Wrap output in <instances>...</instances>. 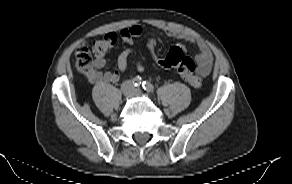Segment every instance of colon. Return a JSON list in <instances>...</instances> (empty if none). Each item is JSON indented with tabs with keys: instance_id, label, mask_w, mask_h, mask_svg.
<instances>
[{
	"instance_id": "1",
	"label": "colon",
	"mask_w": 292,
	"mask_h": 184,
	"mask_svg": "<svg viewBox=\"0 0 292 184\" xmlns=\"http://www.w3.org/2000/svg\"><path fill=\"white\" fill-rule=\"evenodd\" d=\"M116 40V34L108 33L95 39L91 48L86 43L79 44L75 51L77 68L85 73L93 70L94 57L104 55L114 46ZM147 48L160 66L175 68L190 85L196 88L201 86L202 78L195 72V63L190 57L186 56L182 47L173 46L164 56H160L158 35L155 32H150L147 38Z\"/></svg>"
}]
</instances>
